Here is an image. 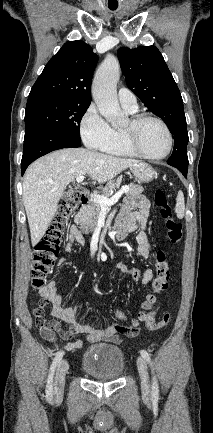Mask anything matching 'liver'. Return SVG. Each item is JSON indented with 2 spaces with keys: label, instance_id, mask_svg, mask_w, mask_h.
Wrapping results in <instances>:
<instances>
[{
  "label": "liver",
  "instance_id": "6515ba94",
  "mask_svg": "<svg viewBox=\"0 0 213 433\" xmlns=\"http://www.w3.org/2000/svg\"><path fill=\"white\" fill-rule=\"evenodd\" d=\"M139 163L84 148L54 151L33 162L23 180V202L32 245L48 229L66 186L78 176L88 174L99 183L113 179L123 170Z\"/></svg>",
  "mask_w": 213,
  "mask_h": 433
}]
</instances>
